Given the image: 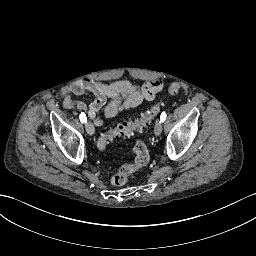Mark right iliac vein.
I'll list each match as a JSON object with an SVG mask.
<instances>
[{"label":"right iliac vein","instance_id":"right-iliac-vein-1","mask_svg":"<svg viewBox=\"0 0 256 256\" xmlns=\"http://www.w3.org/2000/svg\"><path fill=\"white\" fill-rule=\"evenodd\" d=\"M85 128H86V131H87L88 135L92 136L94 134L95 128H94V125H93L92 122H90V121L87 122L85 124Z\"/></svg>","mask_w":256,"mask_h":256}]
</instances>
